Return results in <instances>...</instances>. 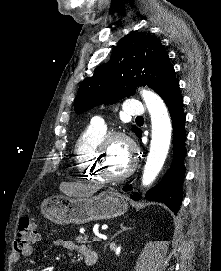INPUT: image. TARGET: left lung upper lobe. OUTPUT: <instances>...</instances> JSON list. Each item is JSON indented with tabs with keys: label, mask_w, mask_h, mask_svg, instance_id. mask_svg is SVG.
Segmentation results:
<instances>
[{
	"label": "left lung upper lobe",
	"mask_w": 221,
	"mask_h": 271,
	"mask_svg": "<svg viewBox=\"0 0 221 271\" xmlns=\"http://www.w3.org/2000/svg\"><path fill=\"white\" fill-rule=\"evenodd\" d=\"M178 81L161 41L146 33H133L115 48L111 59L82 81L74 102L76 113L96 105L115 103L133 95L137 86L155 90L160 96ZM137 134L140 129L132 127Z\"/></svg>",
	"instance_id": "obj_1"
}]
</instances>
